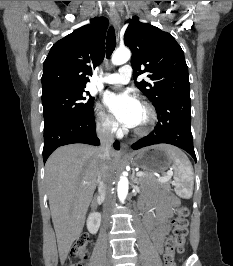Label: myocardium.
I'll return each mask as SVG.
<instances>
[{"instance_id":"f54148a6","label":"myocardium","mask_w":233,"mask_h":266,"mask_svg":"<svg viewBox=\"0 0 233 266\" xmlns=\"http://www.w3.org/2000/svg\"><path fill=\"white\" fill-rule=\"evenodd\" d=\"M141 106L146 110L148 120L143 126L135 128L133 130L134 134L137 136H145L149 134L155 127L158 119L156 109L150 102L142 101Z\"/></svg>"}]
</instances>
